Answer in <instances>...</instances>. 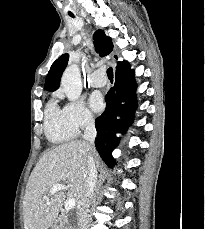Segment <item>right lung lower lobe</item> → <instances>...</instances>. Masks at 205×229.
I'll return each mask as SVG.
<instances>
[{"label": "right lung lower lobe", "instance_id": "right-lung-lower-lobe-1", "mask_svg": "<svg viewBox=\"0 0 205 229\" xmlns=\"http://www.w3.org/2000/svg\"><path fill=\"white\" fill-rule=\"evenodd\" d=\"M136 83L134 71L125 63L116 67L114 86L108 91L105 100V112L95 121L97 138L95 146L108 167H113L115 161L112 151L118 144L116 133H124L133 122V114L137 107L135 98ZM120 102H126L122 105ZM120 116L121 119L116 117Z\"/></svg>", "mask_w": 205, "mask_h": 229}]
</instances>
